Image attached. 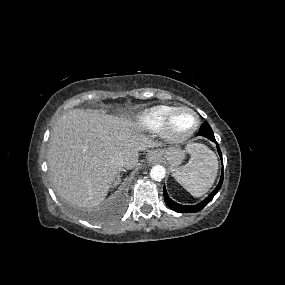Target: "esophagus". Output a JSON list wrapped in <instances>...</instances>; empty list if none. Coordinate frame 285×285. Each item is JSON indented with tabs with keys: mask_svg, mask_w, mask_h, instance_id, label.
Segmentation results:
<instances>
[{
	"mask_svg": "<svg viewBox=\"0 0 285 285\" xmlns=\"http://www.w3.org/2000/svg\"><path fill=\"white\" fill-rule=\"evenodd\" d=\"M158 158L157 154L154 152V151H150L148 154H147V159L149 161H153V160H156Z\"/></svg>",
	"mask_w": 285,
	"mask_h": 285,
	"instance_id": "1",
	"label": "esophagus"
}]
</instances>
